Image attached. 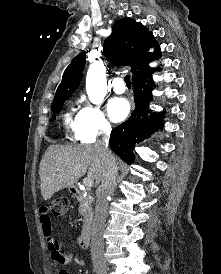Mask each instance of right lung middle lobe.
<instances>
[{
    "mask_svg": "<svg viewBox=\"0 0 221 274\" xmlns=\"http://www.w3.org/2000/svg\"><path fill=\"white\" fill-rule=\"evenodd\" d=\"M71 95H63V96H59V97H55L54 101L52 103V107L51 110L52 112H54L55 114H58L60 109L62 108L64 102L70 97Z\"/></svg>",
    "mask_w": 221,
    "mask_h": 274,
    "instance_id": "dd1d6c3e",
    "label": "right lung middle lobe"
}]
</instances>
